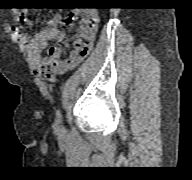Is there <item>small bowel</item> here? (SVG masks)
Masks as SVG:
<instances>
[{
    "instance_id": "1",
    "label": "small bowel",
    "mask_w": 192,
    "mask_h": 180,
    "mask_svg": "<svg viewBox=\"0 0 192 180\" xmlns=\"http://www.w3.org/2000/svg\"><path fill=\"white\" fill-rule=\"evenodd\" d=\"M72 19L81 17L76 29V37L72 41V49L68 55L63 56L59 47L50 50L40 68V73L48 80H55L60 74L77 66L92 50L97 32L98 16L95 12L81 9L71 12ZM21 19L28 21L27 11L21 12ZM62 15L53 16L46 28L36 33L30 42L33 53H40L51 40L64 42L65 34L59 29Z\"/></svg>"
}]
</instances>
